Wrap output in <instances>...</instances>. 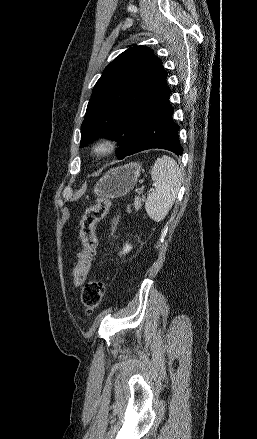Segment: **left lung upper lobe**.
<instances>
[{
	"mask_svg": "<svg viewBox=\"0 0 257 439\" xmlns=\"http://www.w3.org/2000/svg\"><path fill=\"white\" fill-rule=\"evenodd\" d=\"M167 73L145 46H133L107 65L93 89L81 126L80 147L100 138L118 141L117 158L134 147L141 124L166 93Z\"/></svg>",
	"mask_w": 257,
	"mask_h": 439,
	"instance_id": "5c2ea615",
	"label": "left lung upper lobe"
}]
</instances>
